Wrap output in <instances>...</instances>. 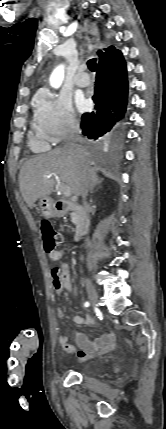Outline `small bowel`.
Segmentation results:
<instances>
[{"mask_svg": "<svg viewBox=\"0 0 166 429\" xmlns=\"http://www.w3.org/2000/svg\"><path fill=\"white\" fill-rule=\"evenodd\" d=\"M64 253V250L56 249L48 253V256L52 261H59L63 257ZM50 273L53 287L58 295L71 291V274L70 267L67 263H61L60 266L53 267ZM56 315L58 318H63L64 310L62 308H58L56 310ZM72 320L76 324L87 326L94 324V320L90 316L75 315L72 317ZM74 340L79 347V351L76 353V356L80 361H87L104 355L111 351L115 346V336L112 333L103 334L94 340H90L84 333L75 331ZM59 342L63 351L68 354L75 353L74 346L68 342L67 337L63 333L59 335Z\"/></svg>", "mask_w": 166, "mask_h": 429, "instance_id": "obj_1", "label": "small bowel"}]
</instances>
